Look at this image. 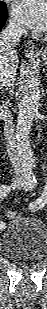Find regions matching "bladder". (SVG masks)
Instances as JSON below:
<instances>
[{"label": "bladder", "instance_id": "31cf9c89", "mask_svg": "<svg viewBox=\"0 0 47 309\" xmlns=\"http://www.w3.org/2000/svg\"><path fill=\"white\" fill-rule=\"evenodd\" d=\"M0 250L12 259H37L47 251V227L31 216H17L3 231Z\"/></svg>", "mask_w": 47, "mask_h": 309}]
</instances>
